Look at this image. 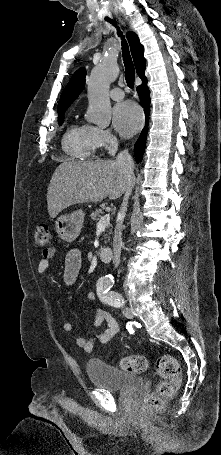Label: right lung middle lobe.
<instances>
[{
    "label": "right lung middle lobe",
    "instance_id": "obj_1",
    "mask_svg": "<svg viewBox=\"0 0 221 455\" xmlns=\"http://www.w3.org/2000/svg\"><path fill=\"white\" fill-rule=\"evenodd\" d=\"M66 109H60L58 110V117H59V124L61 125L63 120H64V113H65Z\"/></svg>",
    "mask_w": 221,
    "mask_h": 455
}]
</instances>
